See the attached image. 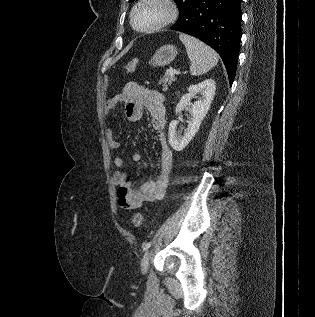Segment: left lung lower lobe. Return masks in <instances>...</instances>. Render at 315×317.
I'll use <instances>...</instances> for the list:
<instances>
[{
	"label": "left lung lower lobe",
	"mask_w": 315,
	"mask_h": 317,
	"mask_svg": "<svg viewBox=\"0 0 315 317\" xmlns=\"http://www.w3.org/2000/svg\"><path fill=\"white\" fill-rule=\"evenodd\" d=\"M241 0H194L172 30L192 35L218 52L233 83L241 40Z\"/></svg>",
	"instance_id": "left-lung-lower-lobe-1"
}]
</instances>
